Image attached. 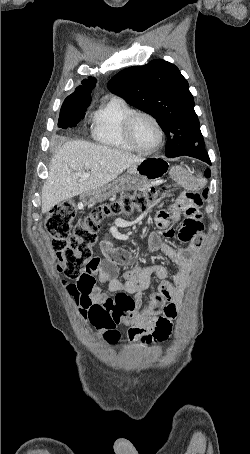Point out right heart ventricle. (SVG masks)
Wrapping results in <instances>:
<instances>
[{"instance_id":"e07e8e85","label":"right heart ventricle","mask_w":250,"mask_h":454,"mask_svg":"<svg viewBox=\"0 0 250 454\" xmlns=\"http://www.w3.org/2000/svg\"><path fill=\"white\" fill-rule=\"evenodd\" d=\"M134 109L120 98H111L94 111L91 118L93 139L108 148L131 152L124 136V120Z\"/></svg>"}]
</instances>
